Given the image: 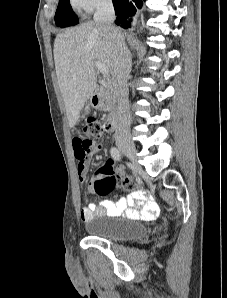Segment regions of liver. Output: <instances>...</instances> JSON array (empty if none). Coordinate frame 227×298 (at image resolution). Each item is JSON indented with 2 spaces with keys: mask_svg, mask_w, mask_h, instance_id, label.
<instances>
[{
  "mask_svg": "<svg viewBox=\"0 0 227 298\" xmlns=\"http://www.w3.org/2000/svg\"><path fill=\"white\" fill-rule=\"evenodd\" d=\"M116 31L121 34L120 29ZM54 61L69 126L74 127L96 88L95 61L113 74L112 38L94 21L66 29L55 38Z\"/></svg>",
  "mask_w": 227,
  "mask_h": 298,
  "instance_id": "6515ba94",
  "label": "liver"
}]
</instances>
